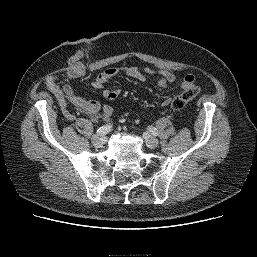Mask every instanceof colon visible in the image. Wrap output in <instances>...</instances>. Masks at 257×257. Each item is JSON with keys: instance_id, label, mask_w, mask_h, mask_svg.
Masks as SVG:
<instances>
[{"instance_id": "obj_1", "label": "colon", "mask_w": 257, "mask_h": 257, "mask_svg": "<svg viewBox=\"0 0 257 257\" xmlns=\"http://www.w3.org/2000/svg\"><path fill=\"white\" fill-rule=\"evenodd\" d=\"M200 93V87L194 83L187 85L183 91L173 97L171 108L180 110Z\"/></svg>"}]
</instances>
